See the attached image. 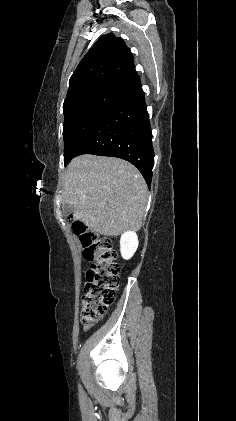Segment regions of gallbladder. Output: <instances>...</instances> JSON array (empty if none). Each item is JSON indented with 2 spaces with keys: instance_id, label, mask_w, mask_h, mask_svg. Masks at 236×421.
<instances>
[{
  "instance_id": "bac80fb5",
  "label": "gallbladder",
  "mask_w": 236,
  "mask_h": 421,
  "mask_svg": "<svg viewBox=\"0 0 236 421\" xmlns=\"http://www.w3.org/2000/svg\"><path fill=\"white\" fill-rule=\"evenodd\" d=\"M62 208H63V213H65V215H69V213L73 211V206H70L68 202H63Z\"/></svg>"
}]
</instances>
